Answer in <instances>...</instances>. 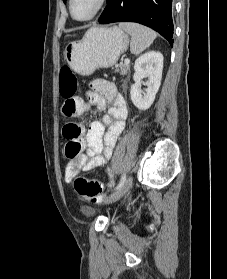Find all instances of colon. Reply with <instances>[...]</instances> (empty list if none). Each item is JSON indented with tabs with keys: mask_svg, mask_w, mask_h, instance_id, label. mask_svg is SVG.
I'll list each match as a JSON object with an SVG mask.
<instances>
[{
	"mask_svg": "<svg viewBox=\"0 0 227 279\" xmlns=\"http://www.w3.org/2000/svg\"><path fill=\"white\" fill-rule=\"evenodd\" d=\"M61 88L60 92L65 99L63 105V115L67 118L74 117L79 107L76 99L80 83L69 68H61L60 72ZM80 129L71 124H67L63 129L64 137L67 139L65 145V154L68 158L73 159L80 154V147L74 139L79 134ZM76 194L85 201H99L102 199L103 184L98 180H89L85 177H77L73 181Z\"/></svg>",
	"mask_w": 227,
	"mask_h": 279,
	"instance_id": "5ec220e1",
	"label": "colon"
}]
</instances>
